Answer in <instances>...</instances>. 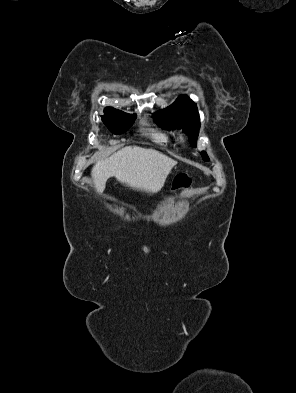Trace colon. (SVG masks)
<instances>
[{"label":"colon","instance_id":"5ec220e1","mask_svg":"<svg viewBox=\"0 0 296 393\" xmlns=\"http://www.w3.org/2000/svg\"><path fill=\"white\" fill-rule=\"evenodd\" d=\"M191 185V178L186 174H179L173 182V190L180 191L189 188Z\"/></svg>","mask_w":296,"mask_h":393}]
</instances>
